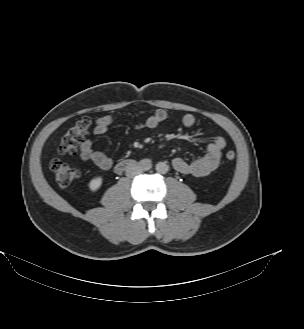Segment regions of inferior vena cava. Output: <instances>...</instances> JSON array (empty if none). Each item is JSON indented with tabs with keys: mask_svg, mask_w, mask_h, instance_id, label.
Returning <instances> with one entry per match:
<instances>
[{
	"mask_svg": "<svg viewBox=\"0 0 304 329\" xmlns=\"http://www.w3.org/2000/svg\"><path fill=\"white\" fill-rule=\"evenodd\" d=\"M143 172V168L138 165H131L126 169V176L133 178Z\"/></svg>",
	"mask_w": 304,
	"mask_h": 329,
	"instance_id": "obj_1",
	"label": "inferior vena cava"
}]
</instances>
